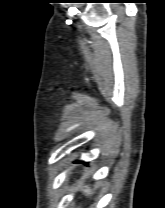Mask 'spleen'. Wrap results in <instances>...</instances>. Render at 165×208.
Instances as JSON below:
<instances>
[{"mask_svg": "<svg viewBox=\"0 0 165 208\" xmlns=\"http://www.w3.org/2000/svg\"><path fill=\"white\" fill-rule=\"evenodd\" d=\"M84 192L88 195V194H90V189L88 187H86V189H84Z\"/></svg>", "mask_w": 165, "mask_h": 208, "instance_id": "obj_1", "label": "spleen"}]
</instances>
